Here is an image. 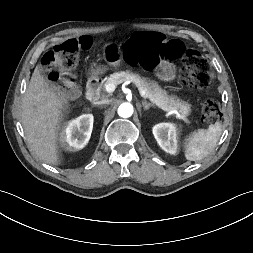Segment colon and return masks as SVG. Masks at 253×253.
I'll list each match as a JSON object with an SVG mask.
<instances>
[{"label": "colon", "mask_w": 253, "mask_h": 253, "mask_svg": "<svg viewBox=\"0 0 253 253\" xmlns=\"http://www.w3.org/2000/svg\"><path fill=\"white\" fill-rule=\"evenodd\" d=\"M86 46L82 39L69 40L45 53L42 59L47 77L60 83L67 94H74L77 86L70 70L76 65L78 54ZM124 56L128 63L151 68L159 56L180 59L179 79L190 89L207 88L213 81V73L207 60L194 49H187L176 39L166 40L158 33H134L124 45ZM221 116L219 103L207 99L202 106V117L207 123H215Z\"/></svg>", "instance_id": "obj_1"}]
</instances>
